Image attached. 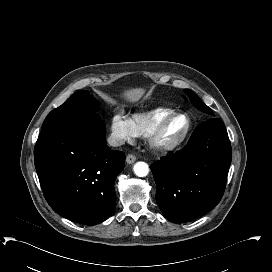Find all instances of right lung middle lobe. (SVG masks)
<instances>
[{
	"mask_svg": "<svg viewBox=\"0 0 272 272\" xmlns=\"http://www.w3.org/2000/svg\"><path fill=\"white\" fill-rule=\"evenodd\" d=\"M96 101L88 91L80 90L71 95L61 106L46 117L42 129L63 120L73 119L81 114L95 113Z\"/></svg>",
	"mask_w": 272,
	"mask_h": 272,
	"instance_id": "1",
	"label": "right lung middle lobe"
}]
</instances>
